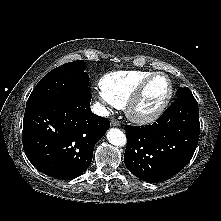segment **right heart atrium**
Returning a JSON list of instances; mask_svg holds the SVG:
<instances>
[{"instance_id": "1", "label": "right heart atrium", "mask_w": 221, "mask_h": 221, "mask_svg": "<svg viewBox=\"0 0 221 221\" xmlns=\"http://www.w3.org/2000/svg\"><path fill=\"white\" fill-rule=\"evenodd\" d=\"M97 100L101 104V109L105 112H108L112 107H117L116 104L109 99L101 90L95 92Z\"/></svg>"}]
</instances>
